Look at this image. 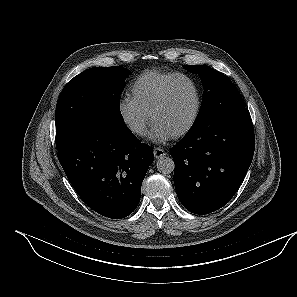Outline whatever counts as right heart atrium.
<instances>
[{
  "label": "right heart atrium",
  "mask_w": 297,
  "mask_h": 297,
  "mask_svg": "<svg viewBox=\"0 0 297 297\" xmlns=\"http://www.w3.org/2000/svg\"><path fill=\"white\" fill-rule=\"evenodd\" d=\"M119 117L127 130L136 137L145 135L149 116L131 97H125L118 103Z\"/></svg>",
  "instance_id": "obj_1"
}]
</instances>
